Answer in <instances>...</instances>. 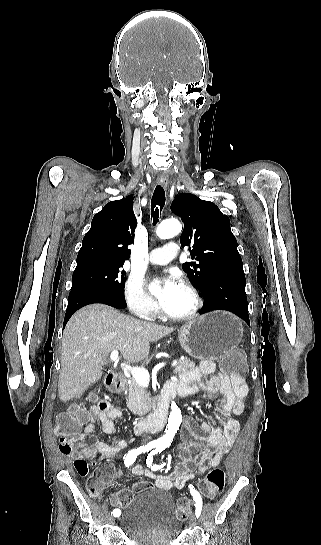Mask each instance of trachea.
<instances>
[{"label":"trachea","instance_id":"3493384b","mask_svg":"<svg viewBox=\"0 0 321 545\" xmlns=\"http://www.w3.org/2000/svg\"><path fill=\"white\" fill-rule=\"evenodd\" d=\"M165 205V192L161 186H157L151 200V215L154 225L158 223L159 214Z\"/></svg>","mask_w":321,"mask_h":545}]
</instances>
